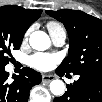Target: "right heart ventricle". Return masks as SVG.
<instances>
[{
  "label": "right heart ventricle",
  "mask_w": 102,
  "mask_h": 102,
  "mask_svg": "<svg viewBox=\"0 0 102 102\" xmlns=\"http://www.w3.org/2000/svg\"><path fill=\"white\" fill-rule=\"evenodd\" d=\"M47 28L49 29L50 33H57L61 31H65L61 23L57 21H53V20L47 23Z\"/></svg>",
  "instance_id": "right-heart-ventricle-1"
}]
</instances>
